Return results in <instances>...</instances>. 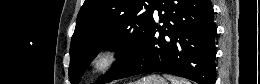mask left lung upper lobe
<instances>
[{
    "instance_id": "5c2ea615",
    "label": "left lung upper lobe",
    "mask_w": 260,
    "mask_h": 84,
    "mask_svg": "<svg viewBox=\"0 0 260 84\" xmlns=\"http://www.w3.org/2000/svg\"><path fill=\"white\" fill-rule=\"evenodd\" d=\"M154 2L85 0L70 45V82L80 81L89 63L103 48L117 51L118 62L97 84L109 82L122 72L137 56L153 19Z\"/></svg>"
}]
</instances>
